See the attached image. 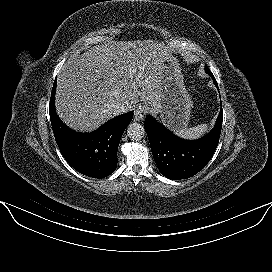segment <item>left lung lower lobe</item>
I'll return each instance as SVG.
<instances>
[{
	"instance_id": "obj_1",
	"label": "left lung lower lobe",
	"mask_w": 272,
	"mask_h": 272,
	"mask_svg": "<svg viewBox=\"0 0 272 272\" xmlns=\"http://www.w3.org/2000/svg\"><path fill=\"white\" fill-rule=\"evenodd\" d=\"M216 87L217 82L209 74ZM219 90V88H218ZM223 120L222 108L213 130L198 140H184L148 115L145 130L160 172L172 180L186 179L201 171L212 158L219 142Z\"/></svg>"
}]
</instances>
